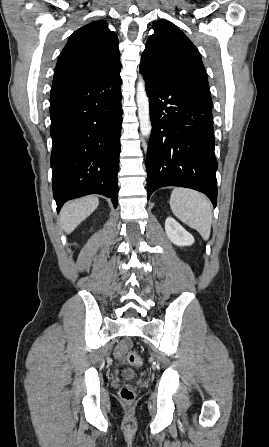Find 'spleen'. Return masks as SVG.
Masks as SVG:
<instances>
[{
    "label": "spleen",
    "instance_id": "obj_1",
    "mask_svg": "<svg viewBox=\"0 0 269 447\" xmlns=\"http://www.w3.org/2000/svg\"><path fill=\"white\" fill-rule=\"evenodd\" d=\"M170 206L176 218L197 229L203 239H208L212 224V206L204 194L187 188H174Z\"/></svg>",
    "mask_w": 269,
    "mask_h": 447
}]
</instances>
